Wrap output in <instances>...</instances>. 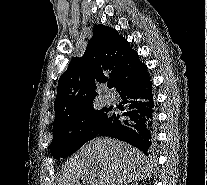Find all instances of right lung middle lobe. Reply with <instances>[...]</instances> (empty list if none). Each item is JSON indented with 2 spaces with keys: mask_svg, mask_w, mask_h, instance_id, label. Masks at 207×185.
<instances>
[{
  "mask_svg": "<svg viewBox=\"0 0 207 185\" xmlns=\"http://www.w3.org/2000/svg\"><path fill=\"white\" fill-rule=\"evenodd\" d=\"M114 118L109 108L92 110L76 116L68 122L53 128L51 155L55 159L72 155L90 141Z\"/></svg>",
  "mask_w": 207,
  "mask_h": 185,
  "instance_id": "right-lung-middle-lobe-1",
  "label": "right lung middle lobe"
}]
</instances>
